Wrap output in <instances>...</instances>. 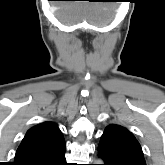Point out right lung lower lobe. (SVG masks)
Instances as JSON below:
<instances>
[{
  "label": "right lung lower lobe",
  "mask_w": 165,
  "mask_h": 165,
  "mask_svg": "<svg viewBox=\"0 0 165 165\" xmlns=\"http://www.w3.org/2000/svg\"><path fill=\"white\" fill-rule=\"evenodd\" d=\"M45 152L25 165H67L65 159L66 143L60 138L44 148Z\"/></svg>",
  "instance_id": "98d812e1"
}]
</instances>
